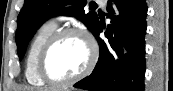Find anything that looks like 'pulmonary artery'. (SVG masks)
<instances>
[{
    "mask_svg": "<svg viewBox=\"0 0 173 91\" xmlns=\"http://www.w3.org/2000/svg\"><path fill=\"white\" fill-rule=\"evenodd\" d=\"M99 3H104V1L98 0Z\"/></svg>",
    "mask_w": 173,
    "mask_h": 91,
    "instance_id": "e3ab8cb5",
    "label": "pulmonary artery"
}]
</instances>
